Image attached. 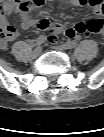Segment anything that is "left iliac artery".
<instances>
[{
    "label": "left iliac artery",
    "mask_w": 104,
    "mask_h": 137,
    "mask_svg": "<svg viewBox=\"0 0 104 137\" xmlns=\"http://www.w3.org/2000/svg\"><path fill=\"white\" fill-rule=\"evenodd\" d=\"M67 45H68V48L71 49L76 46V42H70Z\"/></svg>",
    "instance_id": "left-iliac-artery-1"
}]
</instances>
